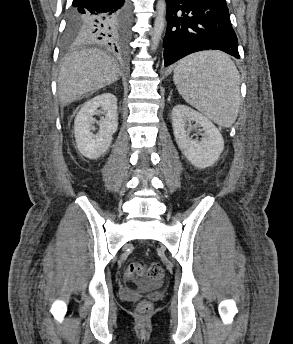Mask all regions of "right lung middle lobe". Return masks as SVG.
Segmentation results:
<instances>
[{"label": "right lung middle lobe", "mask_w": 293, "mask_h": 344, "mask_svg": "<svg viewBox=\"0 0 293 344\" xmlns=\"http://www.w3.org/2000/svg\"><path fill=\"white\" fill-rule=\"evenodd\" d=\"M86 21V15L79 12L71 11L69 15L67 30L64 35L65 45H72L85 41L82 35V27L84 26Z\"/></svg>", "instance_id": "dd1d6c3e"}]
</instances>
